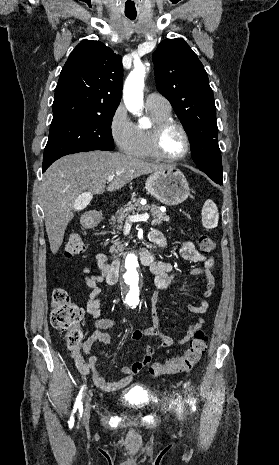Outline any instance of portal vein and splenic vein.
<instances>
[{
    "label": "portal vein and splenic vein",
    "instance_id": "obj_1",
    "mask_svg": "<svg viewBox=\"0 0 279 465\" xmlns=\"http://www.w3.org/2000/svg\"><path fill=\"white\" fill-rule=\"evenodd\" d=\"M113 179H114V176H109V177H108V181H112ZM79 197L85 199V198H87V197H91V194L85 192V193H83L82 195H80ZM148 219H149V214H147V213H145V214H140V215L137 214V215H129V216H128V220H129L130 222H141V221L145 222V221H147Z\"/></svg>",
    "mask_w": 279,
    "mask_h": 465
}]
</instances>
